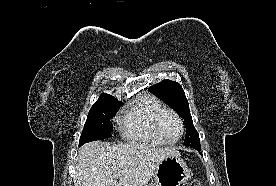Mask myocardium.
I'll use <instances>...</instances> for the list:
<instances>
[{"instance_id": "1", "label": "myocardium", "mask_w": 276, "mask_h": 186, "mask_svg": "<svg viewBox=\"0 0 276 186\" xmlns=\"http://www.w3.org/2000/svg\"><path fill=\"white\" fill-rule=\"evenodd\" d=\"M165 114H171L173 115L176 120L178 121V124L180 126V134L178 136V138H176L175 140H168L166 139V137L162 134L161 130H160V119L162 118L163 115ZM153 129L155 134L157 135V137L164 142L165 144H176L178 141L181 140V138L184 135L185 132V126H184V122L181 118V116L173 109L171 108H162L160 111L157 112V114L154 117L153 120Z\"/></svg>"}]
</instances>
